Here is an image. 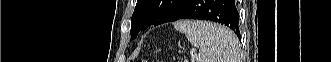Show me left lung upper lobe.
<instances>
[{"instance_id":"obj_1","label":"left lung upper lobe","mask_w":331,"mask_h":62,"mask_svg":"<svg viewBox=\"0 0 331 62\" xmlns=\"http://www.w3.org/2000/svg\"><path fill=\"white\" fill-rule=\"evenodd\" d=\"M184 0H137L131 18L132 39L136 38V28L140 23L155 26L166 23Z\"/></svg>"}]
</instances>
